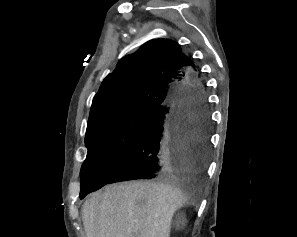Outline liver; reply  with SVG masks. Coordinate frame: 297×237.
Returning <instances> with one entry per match:
<instances>
[{
  "instance_id": "obj_1",
  "label": "liver",
  "mask_w": 297,
  "mask_h": 237,
  "mask_svg": "<svg viewBox=\"0 0 297 237\" xmlns=\"http://www.w3.org/2000/svg\"><path fill=\"white\" fill-rule=\"evenodd\" d=\"M171 179L112 184L92 194L82 207L86 237H170L174 213L193 199Z\"/></svg>"
}]
</instances>
